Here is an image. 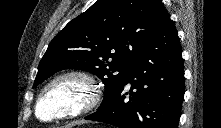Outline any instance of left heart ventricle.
I'll use <instances>...</instances> for the list:
<instances>
[{"mask_svg": "<svg viewBox=\"0 0 221 128\" xmlns=\"http://www.w3.org/2000/svg\"><path fill=\"white\" fill-rule=\"evenodd\" d=\"M77 94H79V88L72 83L60 84L42 105L40 110L41 116L48 117L55 111L71 105L75 102Z\"/></svg>", "mask_w": 221, "mask_h": 128, "instance_id": "obj_1", "label": "left heart ventricle"}]
</instances>
